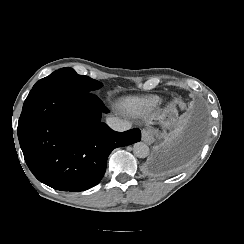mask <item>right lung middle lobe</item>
I'll return each mask as SVG.
<instances>
[{"label": "right lung middle lobe", "mask_w": 244, "mask_h": 244, "mask_svg": "<svg viewBox=\"0 0 244 244\" xmlns=\"http://www.w3.org/2000/svg\"><path fill=\"white\" fill-rule=\"evenodd\" d=\"M102 83L88 76L78 75L72 68H61L39 80L32 90L48 87H68L71 89L92 92L102 87Z\"/></svg>", "instance_id": "dd1d6c3e"}]
</instances>
